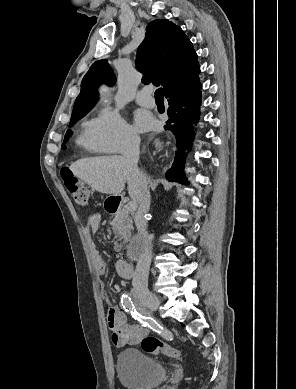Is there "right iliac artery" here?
Wrapping results in <instances>:
<instances>
[{
    "mask_svg": "<svg viewBox=\"0 0 296 389\" xmlns=\"http://www.w3.org/2000/svg\"><path fill=\"white\" fill-rule=\"evenodd\" d=\"M121 303L126 312L133 313V309L138 308L137 304H135L127 294L122 295Z\"/></svg>",
    "mask_w": 296,
    "mask_h": 389,
    "instance_id": "82829eb1",
    "label": "right iliac artery"
}]
</instances>
